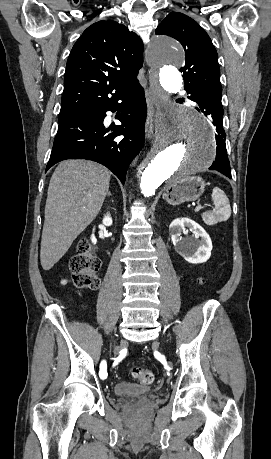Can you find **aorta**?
Segmentation results:
<instances>
[{
	"label": "aorta",
	"mask_w": 271,
	"mask_h": 459,
	"mask_svg": "<svg viewBox=\"0 0 271 459\" xmlns=\"http://www.w3.org/2000/svg\"><path fill=\"white\" fill-rule=\"evenodd\" d=\"M149 58L152 87L157 108L153 147L139 169L140 190L151 197L167 181L185 179L206 170L215 158L213 132L207 120L193 109L178 107L164 94L177 93L183 87L178 71L184 59L180 43L168 37L154 39ZM139 213L148 216L141 205Z\"/></svg>",
	"instance_id": "762f6f07"
}]
</instances>
